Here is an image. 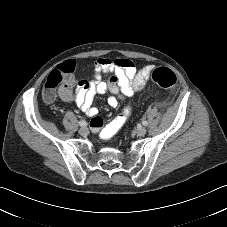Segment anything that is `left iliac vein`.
Returning a JSON list of instances; mask_svg holds the SVG:
<instances>
[{
    "label": "left iliac vein",
    "mask_w": 227,
    "mask_h": 227,
    "mask_svg": "<svg viewBox=\"0 0 227 227\" xmlns=\"http://www.w3.org/2000/svg\"><path fill=\"white\" fill-rule=\"evenodd\" d=\"M135 131H136L137 135H139V136H144L147 133L146 128L141 127V126L137 127Z\"/></svg>",
    "instance_id": "1"
}]
</instances>
